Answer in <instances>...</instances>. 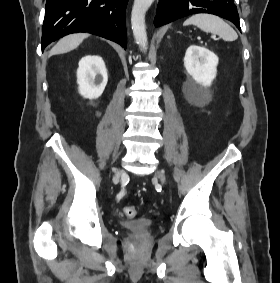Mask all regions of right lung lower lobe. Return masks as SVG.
Wrapping results in <instances>:
<instances>
[{"instance_id":"98d812e1","label":"right lung lower lobe","mask_w":280,"mask_h":283,"mask_svg":"<svg viewBox=\"0 0 280 283\" xmlns=\"http://www.w3.org/2000/svg\"><path fill=\"white\" fill-rule=\"evenodd\" d=\"M128 0H47L42 51L71 33L88 32L127 46L125 11Z\"/></svg>"}]
</instances>
